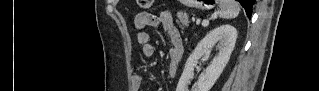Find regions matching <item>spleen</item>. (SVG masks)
Returning a JSON list of instances; mask_svg holds the SVG:
<instances>
[{
	"label": "spleen",
	"mask_w": 319,
	"mask_h": 91,
	"mask_svg": "<svg viewBox=\"0 0 319 91\" xmlns=\"http://www.w3.org/2000/svg\"><path fill=\"white\" fill-rule=\"evenodd\" d=\"M219 7V17L223 19L235 18L240 12V6L235 0H221Z\"/></svg>",
	"instance_id": "3e777b00"
}]
</instances>
